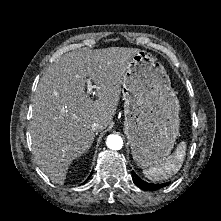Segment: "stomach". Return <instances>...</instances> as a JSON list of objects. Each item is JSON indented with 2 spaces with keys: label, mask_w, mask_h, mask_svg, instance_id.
Instances as JSON below:
<instances>
[{
  "label": "stomach",
  "mask_w": 221,
  "mask_h": 221,
  "mask_svg": "<svg viewBox=\"0 0 221 221\" xmlns=\"http://www.w3.org/2000/svg\"><path fill=\"white\" fill-rule=\"evenodd\" d=\"M124 133L140 167L160 165L179 135V100L162 63L140 50L122 82Z\"/></svg>",
  "instance_id": "0dacf381"
}]
</instances>
